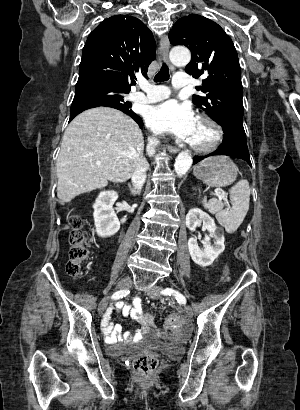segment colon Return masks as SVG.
Instances as JSON below:
<instances>
[{
    "label": "colon",
    "mask_w": 300,
    "mask_h": 410,
    "mask_svg": "<svg viewBox=\"0 0 300 410\" xmlns=\"http://www.w3.org/2000/svg\"><path fill=\"white\" fill-rule=\"evenodd\" d=\"M69 225L71 227L69 235L70 248L66 270L70 276L78 277L88 256L90 241L83 228V221L79 216L71 215ZM177 321L178 316L171 314L167 319V324L174 325ZM157 364V358L150 354L138 355L133 360L134 369L144 377L150 376L155 371Z\"/></svg>",
    "instance_id": "5ec220e1"
}]
</instances>
